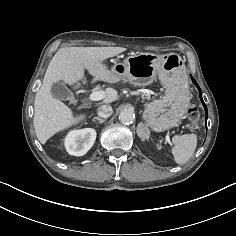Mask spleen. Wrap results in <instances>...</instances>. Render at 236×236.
I'll use <instances>...</instances> for the list:
<instances>
[{"mask_svg":"<svg viewBox=\"0 0 236 236\" xmlns=\"http://www.w3.org/2000/svg\"><path fill=\"white\" fill-rule=\"evenodd\" d=\"M174 147L172 148V154L174 156V161L177 164L186 163L197 147V137L195 134H184L175 135L172 138ZM160 148V147H159Z\"/></svg>","mask_w":236,"mask_h":236,"instance_id":"1","label":"spleen"}]
</instances>
